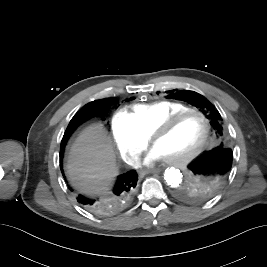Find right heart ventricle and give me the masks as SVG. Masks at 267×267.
Wrapping results in <instances>:
<instances>
[{
  "label": "right heart ventricle",
  "instance_id": "e07e8e85",
  "mask_svg": "<svg viewBox=\"0 0 267 267\" xmlns=\"http://www.w3.org/2000/svg\"><path fill=\"white\" fill-rule=\"evenodd\" d=\"M186 109L191 108L181 102L164 100L148 104H136L125 113L137 131L147 139L166 118Z\"/></svg>",
  "mask_w": 267,
  "mask_h": 267
}]
</instances>
